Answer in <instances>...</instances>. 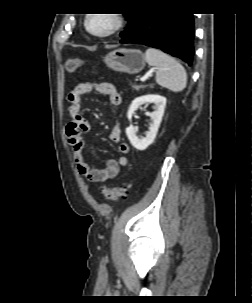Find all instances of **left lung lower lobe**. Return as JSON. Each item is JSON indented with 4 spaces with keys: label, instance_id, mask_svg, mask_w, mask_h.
Returning <instances> with one entry per match:
<instances>
[{
    "label": "left lung lower lobe",
    "instance_id": "0a47b994",
    "mask_svg": "<svg viewBox=\"0 0 252 303\" xmlns=\"http://www.w3.org/2000/svg\"><path fill=\"white\" fill-rule=\"evenodd\" d=\"M194 22L191 13H158L147 10L121 43L144 44L192 65Z\"/></svg>",
    "mask_w": 252,
    "mask_h": 303
}]
</instances>
